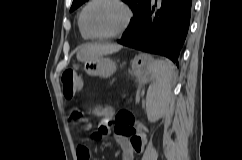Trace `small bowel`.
Wrapping results in <instances>:
<instances>
[{
    "label": "small bowel",
    "mask_w": 242,
    "mask_h": 160,
    "mask_svg": "<svg viewBox=\"0 0 242 160\" xmlns=\"http://www.w3.org/2000/svg\"><path fill=\"white\" fill-rule=\"evenodd\" d=\"M111 121L108 117L102 120L100 134H105L109 131ZM115 139L122 151V160H134L135 154L143 151L145 146V131L143 126L139 125L132 133H120L116 131L114 124ZM78 160H90V150L86 144H80L77 147Z\"/></svg>",
    "instance_id": "c3829d8e"
}]
</instances>
